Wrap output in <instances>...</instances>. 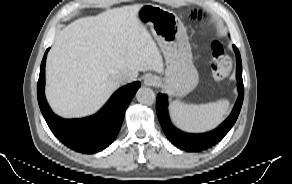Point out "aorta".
<instances>
[{
    "mask_svg": "<svg viewBox=\"0 0 292 184\" xmlns=\"http://www.w3.org/2000/svg\"><path fill=\"white\" fill-rule=\"evenodd\" d=\"M136 99L141 103H151L154 99V93L150 88L143 86L137 90Z\"/></svg>",
    "mask_w": 292,
    "mask_h": 184,
    "instance_id": "aorta-1",
    "label": "aorta"
}]
</instances>
